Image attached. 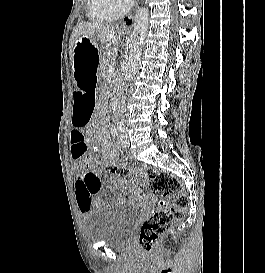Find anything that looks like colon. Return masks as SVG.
Wrapping results in <instances>:
<instances>
[{
  "label": "colon",
  "instance_id": "1",
  "mask_svg": "<svg viewBox=\"0 0 265 273\" xmlns=\"http://www.w3.org/2000/svg\"><path fill=\"white\" fill-rule=\"evenodd\" d=\"M107 168L112 174L121 177L135 173L147 181L151 193L160 199L161 208L142 223L138 234V246L145 251L151 250L174 221L184 216L189 200L182 193L180 182L173 174L166 171L149 168L133 171L119 165H107Z\"/></svg>",
  "mask_w": 265,
  "mask_h": 273
}]
</instances>
